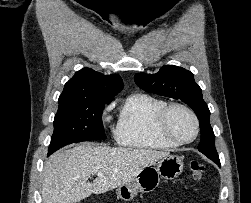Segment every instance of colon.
<instances>
[{
	"label": "colon",
	"mask_w": 251,
	"mask_h": 203,
	"mask_svg": "<svg viewBox=\"0 0 251 203\" xmlns=\"http://www.w3.org/2000/svg\"><path fill=\"white\" fill-rule=\"evenodd\" d=\"M190 169L194 179L199 180L205 172V165L201 161L194 160L190 163Z\"/></svg>",
	"instance_id": "colon-1"
}]
</instances>
